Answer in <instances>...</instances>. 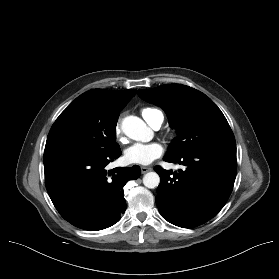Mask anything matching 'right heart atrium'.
Returning a JSON list of instances; mask_svg holds the SVG:
<instances>
[{"mask_svg":"<svg viewBox=\"0 0 279 279\" xmlns=\"http://www.w3.org/2000/svg\"><path fill=\"white\" fill-rule=\"evenodd\" d=\"M114 133L118 141L120 142L124 141L123 131L119 122L115 125Z\"/></svg>","mask_w":279,"mask_h":279,"instance_id":"1","label":"right heart atrium"}]
</instances>
